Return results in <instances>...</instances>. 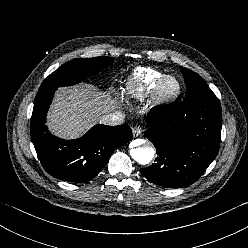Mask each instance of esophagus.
I'll return each mask as SVG.
<instances>
[{
	"mask_svg": "<svg viewBox=\"0 0 248 248\" xmlns=\"http://www.w3.org/2000/svg\"><path fill=\"white\" fill-rule=\"evenodd\" d=\"M133 137H138L141 135L142 130L139 126H136L132 129Z\"/></svg>",
	"mask_w": 248,
	"mask_h": 248,
	"instance_id": "obj_1",
	"label": "esophagus"
}]
</instances>
